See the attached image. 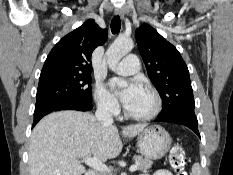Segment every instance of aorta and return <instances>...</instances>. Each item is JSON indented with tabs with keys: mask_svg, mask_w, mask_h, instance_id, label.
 Returning <instances> with one entry per match:
<instances>
[{
	"mask_svg": "<svg viewBox=\"0 0 233 175\" xmlns=\"http://www.w3.org/2000/svg\"><path fill=\"white\" fill-rule=\"evenodd\" d=\"M134 47V43L130 39H117L107 49L105 57L110 67H114L118 62L128 54Z\"/></svg>",
	"mask_w": 233,
	"mask_h": 175,
	"instance_id": "obj_1",
	"label": "aorta"
}]
</instances>
